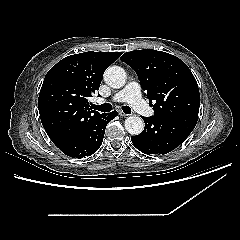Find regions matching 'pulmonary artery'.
<instances>
[{
  "label": "pulmonary artery",
  "instance_id": "e3ab8cb5",
  "mask_svg": "<svg viewBox=\"0 0 240 240\" xmlns=\"http://www.w3.org/2000/svg\"><path fill=\"white\" fill-rule=\"evenodd\" d=\"M116 102H128L130 106L144 116H152L153 110L145 103L140 94V86L137 82L128 83L121 91L112 97ZM95 101L99 104L106 100L103 98H96Z\"/></svg>",
  "mask_w": 240,
  "mask_h": 240
}]
</instances>
